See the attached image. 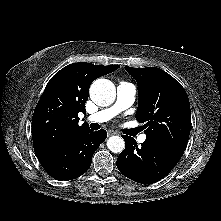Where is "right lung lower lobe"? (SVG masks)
Returning <instances> with one entry per match:
<instances>
[{"label": "right lung lower lobe", "instance_id": "obj_1", "mask_svg": "<svg viewBox=\"0 0 221 221\" xmlns=\"http://www.w3.org/2000/svg\"><path fill=\"white\" fill-rule=\"evenodd\" d=\"M106 137L107 132L103 129L95 132L85 130L57 151L38 160L54 179H75L90 168L93 153Z\"/></svg>", "mask_w": 221, "mask_h": 221}]
</instances>
